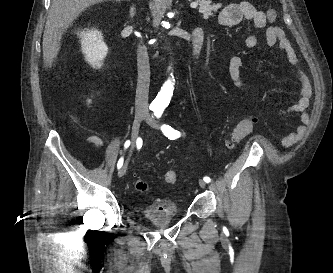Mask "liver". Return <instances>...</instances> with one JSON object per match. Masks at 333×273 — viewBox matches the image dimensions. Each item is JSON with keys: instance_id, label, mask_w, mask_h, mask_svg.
Wrapping results in <instances>:
<instances>
[{"instance_id": "liver-1", "label": "liver", "mask_w": 333, "mask_h": 273, "mask_svg": "<svg viewBox=\"0 0 333 273\" xmlns=\"http://www.w3.org/2000/svg\"><path fill=\"white\" fill-rule=\"evenodd\" d=\"M106 0H53L43 35V59L52 67L65 29L88 7Z\"/></svg>"}]
</instances>
